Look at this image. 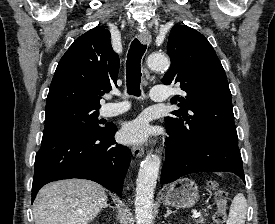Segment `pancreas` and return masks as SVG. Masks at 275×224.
<instances>
[{"instance_id":"1","label":"pancreas","mask_w":275,"mask_h":224,"mask_svg":"<svg viewBox=\"0 0 275 224\" xmlns=\"http://www.w3.org/2000/svg\"><path fill=\"white\" fill-rule=\"evenodd\" d=\"M206 218L204 217H200L199 219L195 220L197 224H205L206 222Z\"/></svg>"}]
</instances>
